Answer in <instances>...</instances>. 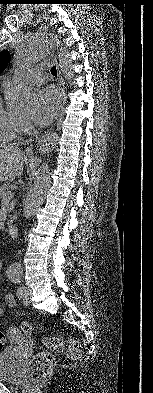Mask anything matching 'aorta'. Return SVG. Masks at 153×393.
I'll return each mask as SVG.
<instances>
[{
  "label": "aorta",
  "instance_id": "obj_1",
  "mask_svg": "<svg viewBox=\"0 0 153 393\" xmlns=\"http://www.w3.org/2000/svg\"><path fill=\"white\" fill-rule=\"evenodd\" d=\"M53 46L57 47L59 66L65 79L71 80L73 78L71 58L62 46L60 38L51 32H36L23 40L16 51L17 68L25 69L43 59ZM5 101L6 107L10 112L29 111L33 107L32 90L22 83H9L5 87ZM57 142V136L54 134H47L41 137L38 141L39 155L42 157L46 156L57 145ZM49 183V165L47 161H43L36 171L33 185L24 202L23 216L26 219L34 216L43 204ZM10 272L13 275L20 274L21 267L17 261L11 264Z\"/></svg>",
  "mask_w": 153,
  "mask_h": 393
}]
</instances>
